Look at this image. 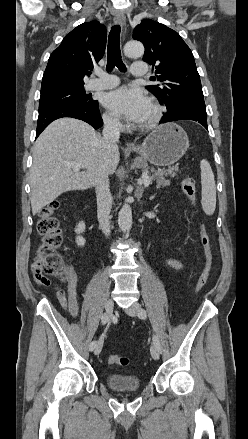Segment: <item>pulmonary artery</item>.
<instances>
[{"label":"pulmonary artery","instance_id":"obj_1","mask_svg":"<svg viewBox=\"0 0 248 439\" xmlns=\"http://www.w3.org/2000/svg\"><path fill=\"white\" fill-rule=\"evenodd\" d=\"M131 73L134 76H143L147 73L146 62H134L132 64ZM119 80L116 76L96 71V78L92 79L88 83V88L91 90H106L111 89L118 85Z\"/></svg>","mask_w":248,"mask_h":439}]
</instances>
